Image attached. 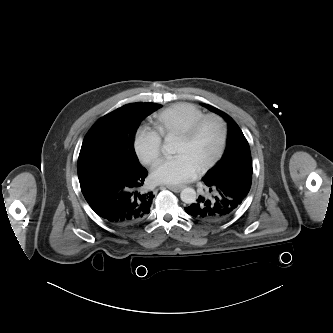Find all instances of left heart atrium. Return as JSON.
Returning <instances> with one entry per match:
<instances>
[{
  "instance_id": "obj_1",
  "label": "left heart atrium",
  "mask_w": 333,
  "mask_h": 333,
  "mask_svg": "<svg viewBox=\"0 0 333 333\" xmlns=\"http://www.w3.org/2000/svg\"><path fill=\"white\" fill-rule=\"evenodd\" d=\"M198 168L185 154L161 160L152 170V179L158 184L177 185L193 179Z\"/></svg>"
}]
</instances>
